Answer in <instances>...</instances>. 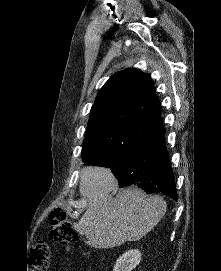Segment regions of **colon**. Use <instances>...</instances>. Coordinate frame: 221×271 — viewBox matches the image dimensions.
<instances>
[{
	"mask_svg": "<svg viewBox=\"0 0 221 271\" xmlns=\"http://www.w3.org/2000/svg\"><path fill=\"white\" fill-rule=\"evenodd\" d=\"M51 225L50 238L52 241L64 245L77 242V231L71 226L68 213L63 208H53L48 214ZM50 249L47 243L40 242L29 252L28 262L30 267L37 271H47L50 259Z\"/></svg>",
	"mask_w": 221,
	"mask_h": 271,
	"instance_id": "1",
	"label": "colon"
}]
</instances>
